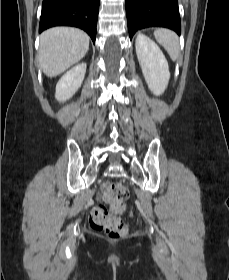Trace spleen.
<instances>
[{
    "label": "spleen",
    "instance_id": "spleen-1",
    "mask_svg": "<svg viewBox=\"0 0 229 280\" xmlns=\"http://www.w3.org/2000/svg\"><path fill=\"white\" fill-rule=\"evenodd\" d=\"M154 37L166 49L171 59L176 61L180 52L179 38L176 33L169 29H157Z\"/></svg>",
    "mask_w": 229,
    "mask_h": 280
}]
</instances>
